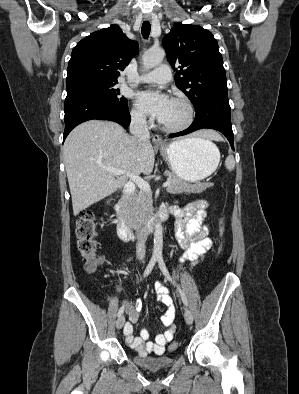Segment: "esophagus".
Wrapping results in <instances>:
<instances>
[{
	"instance_id": "esophagus-1",
	"label": "esophagus",
	"mask_w": 299,
	"mask_h": 394,
	"mask_svg": "<svg viewBox=\"0 0 299 394\" xmlns=\"http://www.w3.org/2000/svg\"><path fill=\"white\" fill-rule=\"evenodd\" d=\"M150 19H151L150 14H145L144 15V20L145 21H150ZM153 143L156 146H162L163 145V140H162V138L159 135L155 134V135H153Z\"/></svg>"
}]
</instances>
